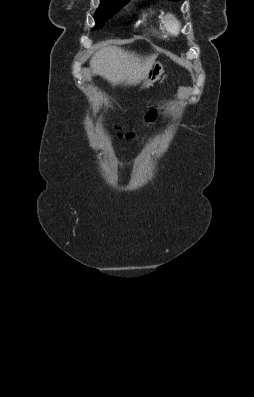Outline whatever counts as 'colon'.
<instances>
[{
	"label": "colon",
	"mask_w": 254,
	"mask_h": 397,
	"mask_svg": "<svg viewBox=\"0 0 254 397\" xmlns=\"http://www.w3.org/2000/svg\"><path fill=\"white\" fill-rule=\"evenodd\" d=\"M157 114H158V112H157L156 109L150 110V111L146 114V116H145V119H144L145 123H146V124H153V123H155V122H156V119H157ZM122 135H123V134H122ZM125 135H126V136H132L133 133H132V132H127V133H125Z\"/></svg>",
	"instance_id": "colon-1"
}]
</instances>
